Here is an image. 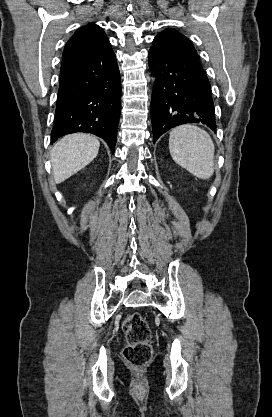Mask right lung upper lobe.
<instances>
[{"label": "right lung upper lobe", "mask_w": 272, "mask_h": 417, "mask_svg": "<svg viewBox=\"0 0 272 417\" xmlns=\"http://www.w3.org/2000/svg\"><path fill=\"white\" fill-rule=\"evenodd\" d=\"M108 41L98 25L89 24L81 27L68 40L63 51V61L90 57Z\"/></svg>", "instance_id": "1"}]
</instances>
